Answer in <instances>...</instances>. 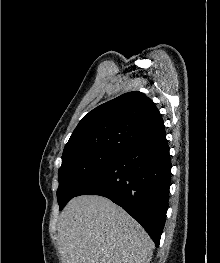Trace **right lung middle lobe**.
<instances>
[{
    "instance_id": "right-lung-middle-lobe-1",
    "label": "right lung middle lobe",
    "mask_w": 220,
    "mask_h": 263,
    "mask_svg": "<svg viewBox=\"0 0 220 263\" xmlns=\"http://www.w3.org/2000/svg\"><path fill=\"white\" fill-rule=\"evenodd\" d=\"M123 150L91 148L70 151L62 155L58 172L57 198L60 210L95 176L115 162Z\"/></svg>"
}]
</instances>
